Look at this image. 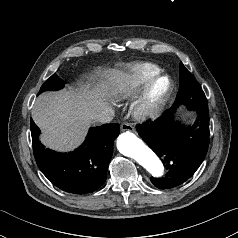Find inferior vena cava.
Listing matches in <instances>:
<instances>
[{
    "instance_id": "602c4592",
    "label": "inferior vena cava",
    "mask_w": 238,
    "mask_h": 238,
    "mask_svg": "<svg viewBox=\"0 0 238 238\" xmlns=\"http://www.w3.org/2000/svg\"><path fill=\"white\" fill-rule=\"evenodd\" d=\"M114 118V110L106 107L96 113L93 117L94 121L100 124L110 123Z\"/></svg>"
}]
</instances>
